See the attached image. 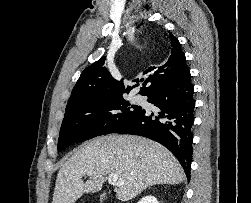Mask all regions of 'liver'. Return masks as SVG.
Instances as JSON below:
<instances>
[{
    "label": "liver",
    "mask_w": 251,
    "mask_h": 203,
    "mask_svg": "<svg viewBox=\"0 0 251 203\" xmlns=\"http://www.w3.org/2000/svg\"><path fill=\"white\" fill-rule=\"evenodd\" d=\"M88 173L92 175L84 182ZM111 173L124 180L116 192L122 202L147 187L184 180L179 162L162 145L139 136L107 135L86 142L62 165L52 203H74L85 193L100 191L104 176Z\"/></svg>",
    "instance_id": "1"
}]
</instances>
